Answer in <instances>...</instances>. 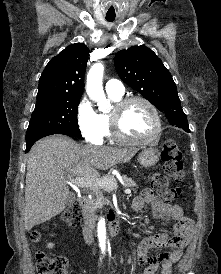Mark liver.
Segmentation results:
<instances>
[{
    "instance_id": "1",
    "label": "liver",
    "mask_w": 221,
    "mask_h": 274,
    "mask_svg": "<svg viewBox=\"0 0 221 274\" xmlns=\"http://www.w3.org/2000/svg\"><path fill=\"white\" fill-rule=\"evenodd\" d=\"M135 148L80 145L61 135L34 144L28 154L24 225L27 231L60 214L70 195L68 180L73 177L98 178L99 170L126 163Z\"/></svg>"
}]
</instances>
